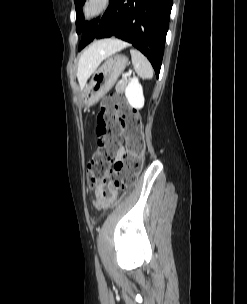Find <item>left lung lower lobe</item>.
Wrapping results in <instances>:
<instances>
[{
	"label": "left lung lower lobe",
	"mask_w": 247,
	"mask_h": 304,
	"mask_svg": "<svg viewBox=\"0 0 247 304\" xmlns=\"http://www.w3.org/2000/svg\"><path fill=\"white\" fill-rule=\"evenodd\" d=\"M173 0H111L98 25L83 31L79 50L93 39L116 36L140 50L158 78Z\"/></svg>",
	"instance_id": "1"
}]
</instances>
